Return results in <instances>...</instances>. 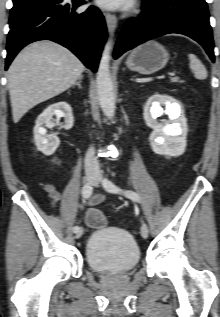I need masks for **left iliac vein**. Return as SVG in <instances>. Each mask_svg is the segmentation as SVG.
I'll use <instances>...</instances> for the list:
<instances>
[{
  "label": "left iliac vein",
  "mask_w": 220,
  "mask_h": 317,
  "mask_svg": "<svg viewBox=\"0 0 220 317\" xmlns=\"http://www.w3.org/2000/svg\"><path fill=\"white\" fill-rule=\"evenodd\" d=\"M100 181H101L100 176H99V175L96 176V179H95V181L93 182V185H94L95 187H99ZM140 233H141V236H142L143 238L146 239V238L148 237L149 230H148V226H147L146 223H143V224L141 225Z\"/></svg>",
  "instance_id": "4c4485c4"
}]
</instances>
